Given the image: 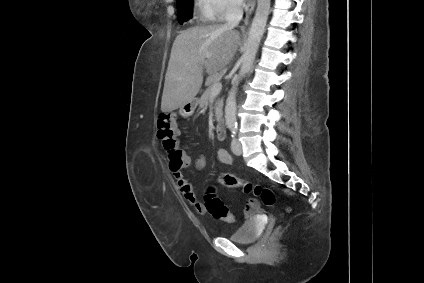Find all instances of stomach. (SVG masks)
I'll use <instances>...</instances> for the list:
<instances>
[{
    "label": "stomach",
    "mask_w": 424,
    "mask_h": 283,
    "mask_svg": "<svg viewBox=\"0 0 424 283\" xmlns=\"http://www.w3.org/2000/svg\"><path fill=\"white\" fill-rule=\"evenodd\" d=\"M195 108H196L195 102L191 101L189 103H186L182 107H180L179 114L184 118H188L189 116L193 114Z\"/></svg>",
    "instance_id": "0dacf381"
}]
</instances>
